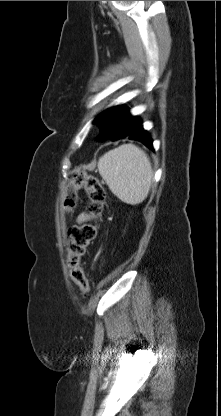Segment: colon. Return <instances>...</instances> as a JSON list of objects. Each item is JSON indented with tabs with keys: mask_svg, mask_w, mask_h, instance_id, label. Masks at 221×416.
I'll list each match as a JSON object with an SVG mask.
<instances>
[{
	"mask_svg": "<svg viewBox=\"0 0 221 416\" xmlns=\"http://www.w3.org/2000/svg\"><path fill=\"white\" fill-rule=\"evenodd\" d=\"M84 187L88 197V211L96 218L103 213L106 192L97 177L93 175H77L68 187L63 205L67 211H72L77 204V190ZM97 221H88L73 226L69 230V238L66 245L67 268L69 276L78 286L82 295L89 292V282L81 265V259L85 255L89 245L98 234Z\"/></svg>",
	"mask_w": 221,
	"mask_h": 416,
	"instance_id": "1",
	"label": "colon"
}]
</instances>
